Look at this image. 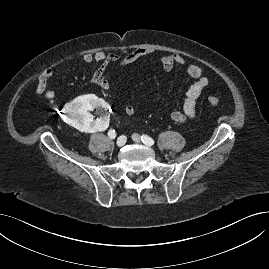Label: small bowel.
Here are the masks:
<instances>
[{
  "label": "small bowel",
  "mask_w": 269,
  "mask_h": 269,
  "mask_svg": "<svg viewBox=\"0 0 269 269\" xmlns=\"http://www.w3.org/2000/svg\"><path fill=\"white\" fill-rule=\"evenodd\" d=\"M154 51L151 48H138L127 55L116 53H107L97 51L95 53H87L82 60L86 64L93 62L99 63L100 67L94 72L92 81L104 91L111 88V84L107 78V70L111 65L125 66L138 61L141 58L150 56ZM160 65L165 70H170L176 65L185 66L186 74L189 78L194 79V83L189 87L183 103L182 110L174 111L172 119L176 123H184L186 120L196 116V105L203 90L208 86L209 79L203 75V69L193 63H188L186 59L177 53H171L160 57ZM67 68V63L59 64L56 69L47 68L38 76L35 83L36 93L43 95L46 99H53L55 92L48 89V83L56 72H61ZM126 115L132 116L136 112V108L132 104H128L124 109Z\"/></svg>",
  "instance_id": "c3829d8e"
}]
</instances>
